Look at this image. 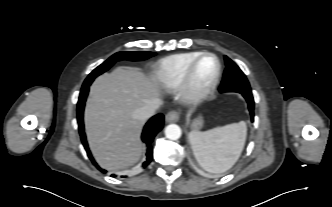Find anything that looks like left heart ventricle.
Masks as SVG:
<instances>
[{
    "label": "left heart ventricle",
    "instance_id": "obj_1",
    "mask_svg": "<svg viewBox=\"0 0 332 207\" xmlns=\"http://www.w3.org/2000/svg\"><path fill=\"white\" fill-rule=\"evenodd\" d=\"M216 71V62L212 57L204 58L198 65L195 73V82L199 88L205 87L213 78Z\"/></svg>",
    "mask_w": 332,
    "mask_h": 207
}]
</instances>
